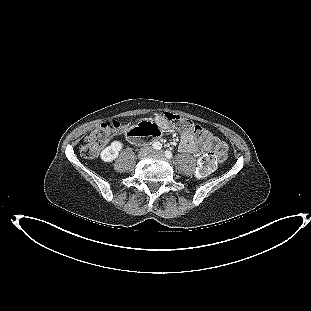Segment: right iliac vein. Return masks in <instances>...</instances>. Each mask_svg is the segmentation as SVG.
Returning <instances> with one entry per match:
<instances>
[{
    "mask_svg": "<svg viewBox=\"0 0 311 311\" xmlns=\"http://www.w3.org/2000/svg\"><path fill=\"white\" fill-rule=\"evenodd\" d=\"M150 153H151V148L150 147H143V148L140 149V151L138 153V158H143V157L147 156Z\"/></svg>",
    "mask_w": 311,
    "mask_h": 311,
    "instance_id": "right-iliac-vein-1",
    "label": "right iliac vein"
}]
</instances>
